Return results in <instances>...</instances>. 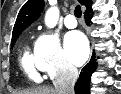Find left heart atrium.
Masks as SVG:
<instances>
[{"label":"left heart atrium","instance_id":"1","mask_svg":"<svg viewBox=\"0 0 121 94\" xmlns=\"http://www.w3.org/2000/svg\"><path fill=\"white\" fill-rule=\"evenodd\" d=\"M65 51L74 64H83L89 53L85 36L79 31L69 32L65 37Z\"/></svg>","mask_w":121,"mask_h":94}]
</instances>
